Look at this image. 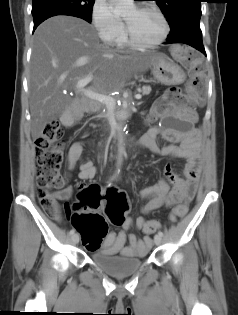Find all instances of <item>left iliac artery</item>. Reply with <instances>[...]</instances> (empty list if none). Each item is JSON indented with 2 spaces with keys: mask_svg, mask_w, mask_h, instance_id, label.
<instances>
[{
  "mask_svg": "<svg viewBox=\"0 0 238 315\" xmlns=\"http://www.w3.org/2000/svg\"><path fill=\"white\" fill-rule=\"evenodd\" d=\"M158 235H160L161 237L163 236V232L162 231H159L158 232Z\"/></svg>",
  "mask_w": 238,
  "mask_h": 315,
  "instance_id": "1",
  "label": "left iliac artery"
}]
</instances>
